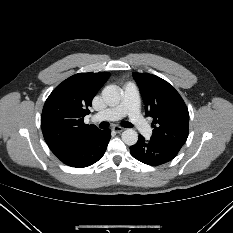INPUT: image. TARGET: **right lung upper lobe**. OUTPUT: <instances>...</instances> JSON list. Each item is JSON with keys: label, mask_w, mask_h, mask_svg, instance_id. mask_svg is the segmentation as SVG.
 <instances>
[{"label": "right lung upper lobe", "mask_w": 233, "mask_h": 233, "mask_svg": "<svg viewBox=\"0 0 233 233\" xmlns=\"http://www.w3.org/2000/svg\"><path fill=\"white\" fill-rule=\"evenodd\" d=\"M110 73H78L59 84L47 98L41 116L44 139L51 151L60 157L74 149L99 129L85 125L92 99Z\"/></svg>", "instance_id": "1"}]
</instances>
